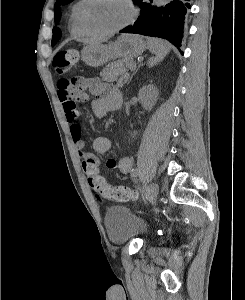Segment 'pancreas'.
Wrapping results in <instances>:
<instances>
[{
  "label": "pancreas",
  "instance_id": "pancreas-1",
  "mask_svg": "<svg viewBox=\"0 0 245 300\" xmlns=\"http://www.w3.org/2000/svg\"><path fill=\"white\" fill-rule=\"evenodd\" d=\"M131 63L134 62L132 60L112 62L100 72V76L104 81H116L117 86L122 87L129 80L128 69H133L135 67H132Z\"/></svg>",
  "mask_w": 245,
  "mask_h": 300
}]
</instances>
